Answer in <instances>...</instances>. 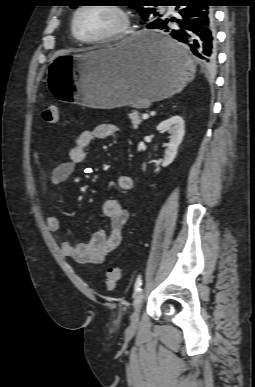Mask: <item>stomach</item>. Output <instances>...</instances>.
Returning a JSON list of instances; mask_svg holds the SVG:
<instances>
[{
    "label": "stomach",
    "mask_w": 255,
    "mask_h": 387,
    "mask_svg": "<svg viewBox=\"0 0 255 387\" xmlns=\"http://www.w3.org/2000/svg\"><path fill=\"white\" fill-rule=\"evenodd\" d=\"M147 35L142 31L113 47L54 57L47 82L58 104L146 105L182 90L194 77L192 61L180 47L182 62L167 59L146 44Z\"/></svg>",
    "instance_id": "obj_1"
}]
</instances>
